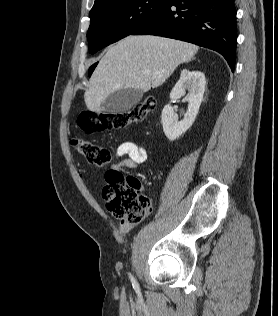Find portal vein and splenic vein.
Masks as SVG:
<instances>
[{
	"mask_svg": "<svg viewBox=\"0 0 278 316\" xmlns=\"http://www.w3.org/2000/svg\"><path fill=\"white\" fill-rule=\"evenodd\" d=\"M145 73H147V74H148V73H149V71H146Z\"/></svg>",
	"mask_w": 278,
	"mask_h": 316,
	"instance_id": "18ae733b",
	"label": "portal vein and splenic vein"
}]
</instances>
